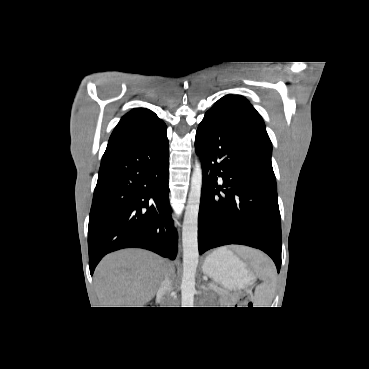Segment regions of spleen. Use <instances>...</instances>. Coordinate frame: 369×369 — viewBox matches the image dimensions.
Here are the masks:
<instances>
[{
    "mask_svg": "<svg viewBox=\"0 0 369 369\" xmlns=\"http://www.w3.org/2000/svg\"><path fill=\"white\" fill-rule=\"evenodd\" d=\"M252 259L253 267L258 271L263 283L255 290L256 307H268L274 296V283L276 280V270L271 261L261 252L250 249L249 253H244Z\"/></svg>",
    "mask_w": 369,
    "mask_h": 369,
    "instance_id": "3e777b00",
    "label": "spleen"
}]
</instances>
